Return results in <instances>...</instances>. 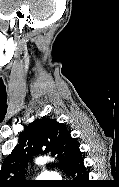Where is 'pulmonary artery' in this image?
<instances>
[{
  "label": "pulmonary artery",
  "mask_w": 119,
  "mask_h": 187,
  "mask_svg": "<svg viewBox=\"0 0 119 187\" xmlns=\"http://www.w3.org/2000/svg\"><path fill=\"white\" fill-rule=\"evenodd\" d=\"M42 178L54 180V179H58L59 175L55 172H46L43 174Z\"/></svg>",
  "instance_id": "obj_1"
}]
</instances>
